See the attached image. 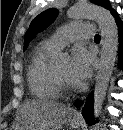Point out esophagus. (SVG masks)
Listing matches in <instances>:
<instances>
[{"mask_svg":"<svg viewBox=\"0 0 123 130\" xmlns=\"http://www.w3.org/2000/svg\"><path fill=\"white\" fill-rule=\"evenodd\" d=\"M75 118H77V119L81 118V114L80 113H76L75 114Z\"/></svg>","mask_w":123,"mask_h":130,"instance_id":"1","label":"esophagus"}]
</instances>
